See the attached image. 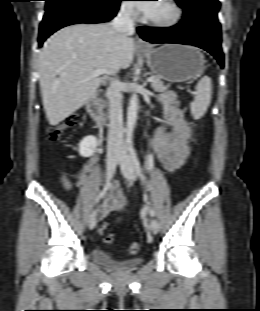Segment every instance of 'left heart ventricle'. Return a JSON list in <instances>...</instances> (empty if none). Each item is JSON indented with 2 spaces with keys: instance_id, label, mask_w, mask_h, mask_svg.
Masks as SVG:
<instances>
[{
  "instance_id": "obj_1",
  "label": "left heart ventricle",
  "mask_w": 260,
  "mask_h": 311,
  "mask_svg": "<svg viewBox=\"0 0 260 311\" xmlns=\"http://www.w3.org/2000/svg\"><path fill=\"white\" fill-rule=\"evenodd\" d=\"M172 16V10L165 2V0H159L156 4L153 12L148 16L155 20H166Z\"/></svg>"
}]
</instances>
